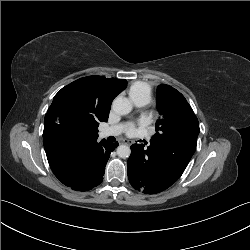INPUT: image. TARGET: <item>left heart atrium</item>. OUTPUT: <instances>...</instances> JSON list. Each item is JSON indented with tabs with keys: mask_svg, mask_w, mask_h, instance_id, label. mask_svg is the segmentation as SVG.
I'll return each mask as SVG.
<instances>
[{
	"mask_svg": "<svg viewBox=\"0 0 250 250\" xmlns=\"http://www.w3.org/2000/svg\"><path fill=\"white\" fill-rule=\"evenodd\" d=\"M134 130H135V126H134L133 124H130V125L128 126L127 132H128L129 134H133Z\"/></svg>",
	"mask_w": 250,
	"mask_h": 250,
	"instance_id": "left-heart-atrium-1",
	"label": "left heart atrium"
}]
</instances>
